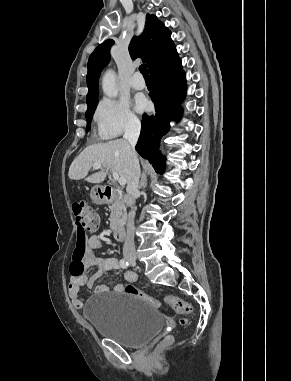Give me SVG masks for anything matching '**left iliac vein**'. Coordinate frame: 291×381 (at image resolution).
Segmentation results:
<instances>
[{
  "mask_svg": "<svg viewBox=\"0 0 291 381\" xmlns=\"http://www.w3.org/2000/svg\"><path fill=\"white\" fill-rule=\"evenodd\" d=\"M131 265H132V266H135V265H136V263H135V262H133V263H131Z\"/></svg>",
  "mask_w": 291,
  "mask_h": 381,
  "instance_id": "4c4485c4",
  "label": "left iliac vein"
}]
</instances>
